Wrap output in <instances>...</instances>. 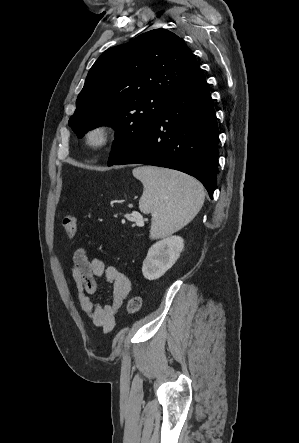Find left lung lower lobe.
I'll list each match as a JSON object with an SVG mask.
<instances>
[{"instance_id":"obj_1","label":"left lung lower lobe","mask_w":299,"mask_h":443,"mask_svg":"<svg viewBox=\"0 0 299 443\" xmlns=\"http://www.w3.org/2000/svg\"><path fill=\"white\" fill-rule=\"evenodd\" d=\"M218 126L198 67L173 93L156 122L112 165L149 164L197 178L210 198L216 187Z\"/></svg>"}]
</instances>
